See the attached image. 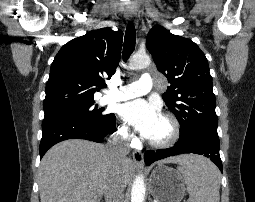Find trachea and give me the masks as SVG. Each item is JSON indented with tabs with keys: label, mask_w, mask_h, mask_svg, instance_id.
Listing matches in <instances>:
<instances>
[{
	"label": "trachea",
	"mask_w": 255,
	"mask_h": 202,
	"mask_svg": "<svg viewBox=\"0 0 255 202\" xmlns=\"http://www.w3.org/2000/svg\"><path fill=\"white\" fill-rule=\"evenodd\" d=\"M136 42V31L134 24L129 22L126 28L125 39H124V47H123V60L126 61L135 48Z\"/></svg>",
	"instance_id": "trachea-1"
}]
</instances>
